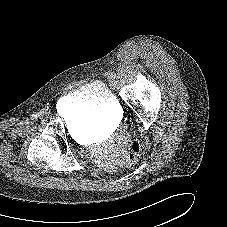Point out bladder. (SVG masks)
Segmentation results:
<instances>
[{"label":"bladder","instance_id":"31cf9c89","mask_svg":"<svg viewBox=\"0 0 227 227\" xmlns=\"http://www.w3.org/2000/svg\"><path fill=\"white\" fill-rule=\"evenodd\" d=\"M60 108L74 110L78 128L94 131L112 125L120 112L118 101L102 81L87 83L66 94L60 101Z\"/></svg>","mask_w":227,"mask_h":227}]
</instances>
